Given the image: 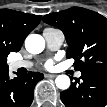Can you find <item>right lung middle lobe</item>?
Instances as JSON below:
<instances>
[{"instance_id":"right-lung-middle-lobe-1","label":"right lung middle lobe","mask_w":107,"mask_h":107,"mask_svg":"<svg viewBox=\"0 0 107 107\" xmlns=\"http://www.w3.org/2000/svg\"><path fill=\"white\" fill-rule=\"evenodd\" d=\"M3 69H8V65H7V60H6V63L4 66H2V68L0 70H3Z\"/></svg>"}]
</instances>
